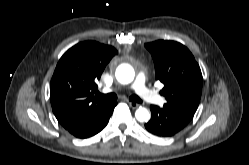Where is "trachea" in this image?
I'll list each match as a JSON object with an SVG mask.
<instances>
[{
	"mask_svg": "<svg viewBox=\"0 0 249 165\" xmlns=\"http://www.w3.org/2000/svg\"><path fill=\"white\" fill-rule=\"evenodd\" d=\"M97 95H98V97H100L106 101H115L117 99V95L114 93H109V94L97 93ZM129 100L132 102L142 103V100L137 95L130 96Z\"/></svg>",
	"mask_w": 249,
	"mask_h": 165,
	"instance_id": "3493384b",
	"label": "trachea"
}]
</instances>
